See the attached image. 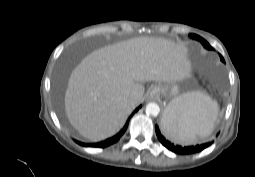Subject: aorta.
Wrapping results in <instances>:
<instances>
[{"mask_svg":"<svg viewBox=\"0 0 255 177\" xmlns=\"http://www.w3.org/2000/svg\"><path fill=\"white\" fill-rule=\"evenodd\" d=\"M160 112V107L157 103L151 102L146 106V113L152 116H157Z\"/></svg>","mask_w":255,"mask_h":177,"instance_id":"obj_1","label":"aorta"}]
</instances>
